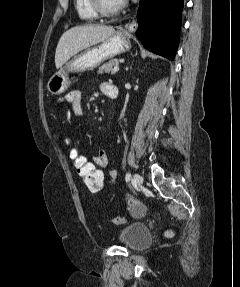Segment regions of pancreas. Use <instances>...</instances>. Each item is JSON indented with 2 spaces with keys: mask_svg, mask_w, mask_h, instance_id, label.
I'll return each mask as SVG.
<instances>
[{
  "mask_svg": "<svg viewBox=\"0 0 240 287\" xmlns=\"http://www.w3.org/2000/svg\"><path fill=\"white\" fill-rule=\"evenodd\" d=\"M119 62L117 59H111L110 61L104 63L99 69L98 73L103 74V73H111L114 74L113 67L118 66Z\"/></svg>",
  "mask_w": 240,
  "mask_h": 287,
  "instance_id": "obj_1",
  "label": "pancreas"
}]
</instances>
